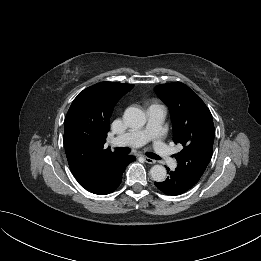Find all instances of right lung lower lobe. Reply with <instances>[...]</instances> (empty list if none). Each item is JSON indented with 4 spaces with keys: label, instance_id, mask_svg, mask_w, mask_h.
<instances>
[{
    "label": "right lung lower lobe",
    "instance_id": "obj_1",
    "mask_svg": "<svg viewBox=\"0 0 261 261\" xmlns=\"http://www.w3.org/2000/svg\"><path fill=\"white\" fill-rule=\"evenodd\" d=\"M134 160V156L122 155L94 181L89 184L83 185L82 187L85 188L87 191L97 195H105L113 192L120 185L122 181V174L125 171V168Z\"/></svg>",
    "mask_w": 261,
    "mask_h": 261
}]
</instances>
